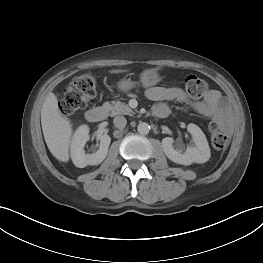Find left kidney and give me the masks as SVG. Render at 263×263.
<instances>
[{
    "label": "left kidney",
    "mask_w": 263,
    "mask_h": 263,
    "mask_svg": "<svg viewBox=\"0 0 263 263\" xmlns=\"http://www.w3.org/2000/svg\"><path fill=\"white\" fill-rule=\"evenodd\" d=\"M187 130L192 135L195 145L182 152L173 147V138L165 137L162 140V147L166 156L171 161L181 165L205 163L210 158V148L205 134L197 125L192 123L187 126Z\"/></svg>",
    "instance_id": "left-kidney-1"
}]
</instances>
